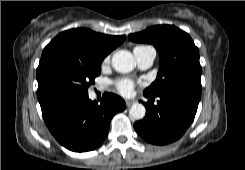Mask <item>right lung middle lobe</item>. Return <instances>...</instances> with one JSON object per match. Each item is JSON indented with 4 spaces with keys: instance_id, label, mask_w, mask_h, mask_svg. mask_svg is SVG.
<instances>
[{
    "instance_id": "obj_1",
    "label": "right lung middle lobe",
    "mask_w": 245,
    "mask_h": 170,
    "mask_svg": "<svg viewBox=\"0 0 245 170\" xmlns=\"http://www.w3.org/2000/svg\"><path fill=\"white\" fill-rule=\"evenodd\" d=\"M101 63L58 54L41 58L36 72L41 109L66 99L88 95L90 84L100 75Z\"/></svg>"
}]
</instances>
